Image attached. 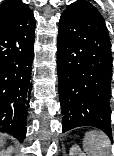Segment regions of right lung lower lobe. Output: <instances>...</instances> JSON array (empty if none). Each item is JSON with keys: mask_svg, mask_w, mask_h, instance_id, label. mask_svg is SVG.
<instances>
[{"mask_svg": "<svg viewBox=\"0 0 114 156\" xmlns=\"http://www.w3.org/2000/svg\"><path fill=\"white\" fill-rule=\"evenodd\" d=\"M34 31L30 9L0 23V132L20 141L26 134Z\"/></svg>", "mask_w": 114, "mask_h": 156, "instance_id": "right-lung-lower-lobe-1", "label": "right lung lower lobe"}]
</instances>
